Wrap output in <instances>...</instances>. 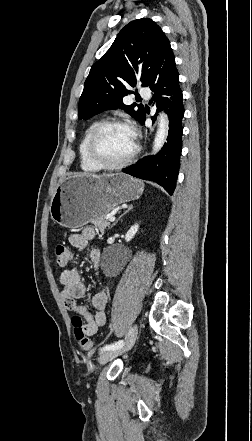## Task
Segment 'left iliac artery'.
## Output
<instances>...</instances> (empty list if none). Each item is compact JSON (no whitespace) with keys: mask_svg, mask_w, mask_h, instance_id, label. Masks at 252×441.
<instances>
[{"mask_svg":"<svg viewBox=\"0 0 252 441\" xmlns=\"http://www.w3.org/2000/svg\"><path fill=\"white\" fill-rule=\"evenodd\" d=\"M124 345V341L123 340H119L113 344H109L104 346L103 348H101V351H107V350H114V349H119Z\"/></svg>","mask_w":252,"mask_h":441,"instance_id":"1","label":"left iliac artery"}]
</instances>
